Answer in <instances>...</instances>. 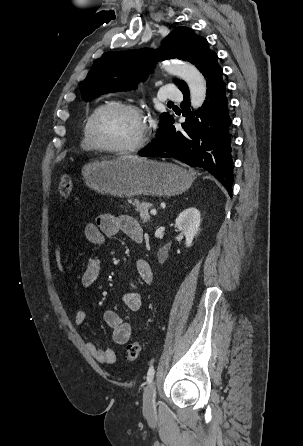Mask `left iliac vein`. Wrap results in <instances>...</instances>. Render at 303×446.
Listing matches in <instances>:
<instances>
[{"label":"left iliac vein","mask_w":303,"mask_h":446,"mask_svg":"<svg viewBox=\"0 0 303 446\" xmlns=\"http://www.w3.org/2000/svg\"><path fill=\"white\" fill-rule=\"evenodd\" d=\"M156 403V386L151 382L146 388L143 396V409L147 413H151L155 409Z\"/></svg>","instance_id":"left-iliac-vein-1"}]
</instances>
